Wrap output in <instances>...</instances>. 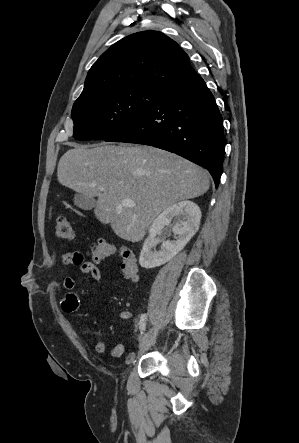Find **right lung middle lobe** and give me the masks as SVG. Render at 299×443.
<instances>
[{
    "mask_svg": "<svg viewBox=\"0 0 299 443\" xmlns=\"http://www.w3.org/2000/svg\"><path fill=\"white\" fill-rule=\"evenodd\" d=\"M161 93L149 88H124L77 100L71 112L73 137L82 141L106 139L139 119Z\"/></svg>",
    "mask_w": 299,
    "mask_h": 443,
    "instance_id": "obj_1",
    "label": "right lung middle lobe"
}]
</instances>
